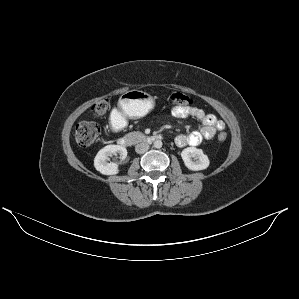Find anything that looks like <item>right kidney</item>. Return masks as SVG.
Returning <instances> with one entry per match:
<instances>
[{
  "label": "right kidney",
  "mask_w": 299,
  "mask_h": 299,
  "mask_svg": "<svg viewBox=\"0 0 299 299\" xmlns=\"http://www.w3.org/2000/svg\"><path fill=\"white\" fill-rule=\"evenodd\" d=\"M119 154L121 159L127 157V150L120 145H107L102 148L94 159V166L97 171L104 175H115L119 172V165L117 163H108L107 159L113 154Z\"/></svg>",
  "instance_id": "obj_1"
}]
</instances>
